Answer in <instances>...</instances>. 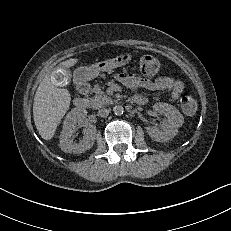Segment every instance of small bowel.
<instances>
[{
  "instance_id": "c3829d8e",
  "label": "small bowel",
  "mask_w": 231,
  "mask_h": 231,
  "mask_svg": "<svg viewBox=\"0 0 231 231\" xmlns=\"http://www.w3.org/2000/svg\"><path fill=\"white\" fill-rule=\"evenodd\" d=\"M115 78L127 88L136 92L139 89L168 91L173 99H178L184 89L180 79L173 77H159L154 80L143 78L136 74H116ZM141 95L136 94L134 97Z\"/></svg>"
}]
</instances>
